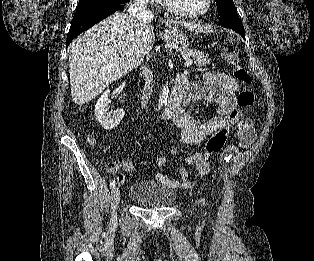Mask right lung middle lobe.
Wrapping results in <instances>:
<instances>
[{"label":"right lung middle lobe","instance_id":"right-lung-middle-lobe-1","mask_svg":"<svg viewBox=\"0 0 314 261\" xmlns=\"http://www.w3.org/2000/svg\"><path fill=\"white\" fill-rule=\"evenodd\" d=\"M129 1L130 0H79L76 15L110 3H127Z\"/></svg>","mask_w":314,"mask_h":261}]
</instances>
